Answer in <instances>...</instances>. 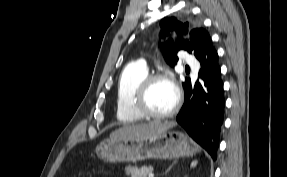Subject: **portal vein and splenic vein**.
Returning a JSON list of instances; mask_svg holds the SVG:
<instances>
[{"label":"portal vein and splenic vein","mask_w":287,"mask_h":177,"mask_svg":"<svg viewBox=\"0 0 287 177\" xmlns=\"http://www.w3.org/2000/svg\"><path fill=\"white\" fill-rule=\"evenodd\" d=\"M149 177H154V174L150 173V174H149Z\"/></svg>","instance_id":"18ae733b"}]
</instances>
